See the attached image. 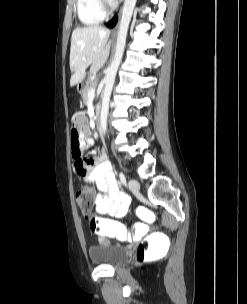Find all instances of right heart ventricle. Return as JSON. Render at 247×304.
Returning <instances> with one entry per match:
<instances>
[{
  "instance_id": "e07e8e85",
  "label": "right heart ventricle",
  "mask_w": 247,
  "mask_h": 304,
  "mask_svg": "<svg viewBox=\"0 0 247 304\" xmlns=\"http://www.w3.org/2000/svg\"><path fill=\"white\" fill-rule=\"evenodd\" d=\"M77 16L81 24L94 26L101 23L105 16L98 7L97 0H76Z\"/></svg>"
}]
</instances>
